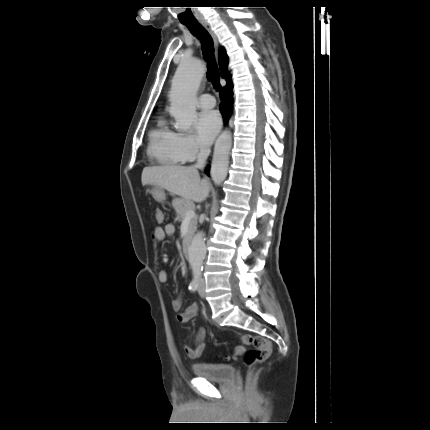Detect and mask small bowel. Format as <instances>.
I'll return each instance as SVG.
<instances>
[{
  "instance_id": "1",
  "label": "small bowel",
  "mask_w": 430,
  "mask_h": 430,
  "mask_svg": "<svg viewBox=\"0 0 430 430\" xmlns=\"http://www.w3.org/2000/svg\"><path fill=\"white\" fill-rule=\"evenodd\" d=\"M175 232V228L173 224H167L164 228L162 227H155L152 231V237L155 241H162L166 237L173 236ZM158 280L161 283H166L168 281V273L165 270H160L158 273ZM172 309L175 312H178L181 309L182 306V300L181 298L174 299L171 302ZM198 313V305L197 304H191L188 306L183 312L179 313L177 315V321L179 323H187L190 320H192L194 317H196ZM205 330L204 328H200L197 331V334L194 338V344H184V351L186 355L191 359H196L200 357L202 354L204 347H205Z\"/></svg>"
}]
</instances>
